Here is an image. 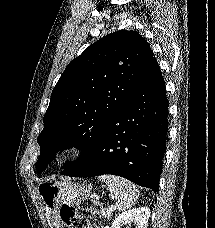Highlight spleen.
Listing matches in <instances>:
<instances>
[{"instance_id": "3e777b00", "label": "spleen", "mask_w": 215, "mask_h": 228, "mask_svg": "<svg viewBox=\"0 0 215 228\" xmlns=\"http://www.w3.org/2000/svg\"><path fill=\"white\" fill-rule=\"evenodd\" d=\"M97 178L108 186L112 196H114L116 210H128L138 200L139 190L129 180H124L120 176H97Z\"/></svg>"}]
</instances>
